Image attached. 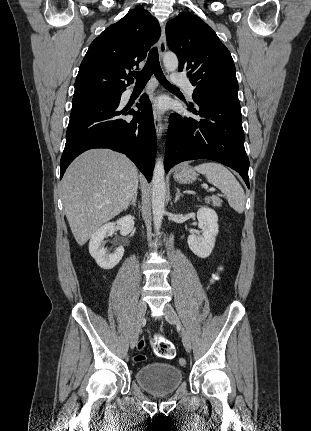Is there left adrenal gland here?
<instances>
[{
  "instance_id": "1",
  "label": "left adrenal gland",
  "mask_w": 311,
  "mask_h": 431,
  "mask_svg": "<svg viewBox=\"0 0 311 431\" xmlns=\"http://www.w3.org/2000/svg\"><path fill=\"white\" fill-rule=\"evenodd\" d=\"M180 196H182V194H181L179 188H177V190H176V196H175V200H174V204H176V202H178Z\"/></svg>"
}]
</instances>
